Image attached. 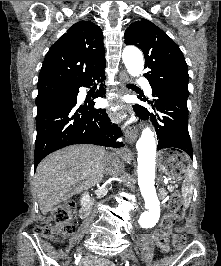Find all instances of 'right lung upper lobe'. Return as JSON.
Segmentation results:
<instances>
[{
  "instance_id": "1",
  "label": "right lung upper lobe",
  "mask_w": 221,
  "mask_h": 266,
  "mask_svg": "<svg viewBox=\"0 0 221 266\" xmlns=\"http://www.w3.org/2000/svg\"><path fill=\"white\" fill-rule=\"evenodd\" d=\"M105 63L101 28L91 21H79L49 49L39 74L38 87H76L104 71Z\"/></svg>"
}]
</instances>
